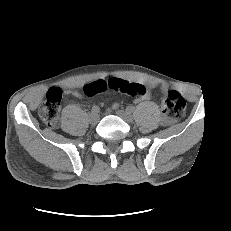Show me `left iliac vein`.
I'll return each instance as SVG.
<instances>
[{
  "instance_id": "1",
  "label": "left iliac vein",
  "mask_w": 231,
  "mask_h": 231,
  "mask_svg": "<svg viewBox=\"0 0 231 231\" xmlns=\"http://www.w3.org/2000/svg\"><path fill=\"white\" fill-rule=\"evenodd\" d=\"M116 114L128 123H131L133 121L132 115L125 110H117Z\"/></svg>"
}]
</instances>
